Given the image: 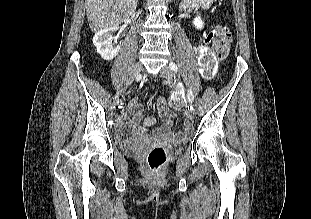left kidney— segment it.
I'll use <instances>...</instances> for the list:
<instances>
[{"instance_id":"1","label":"left kidney","mask_w":311,"mask_h":219,"mask_svg":"<svg viewBox=\"0 0 311 219\" xmlns=\"http://www.w3.org/2000/svg\"><path fill=\"white\" fill-rule=\"evenodd\" d=\"M193 25L196 29L201 30L204 27V22L202 21L200 16H197L193 20Z\"/></svg>"}]
</instances>
